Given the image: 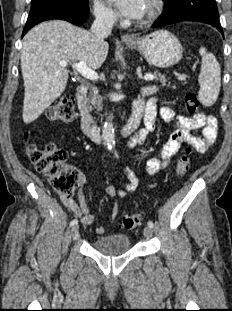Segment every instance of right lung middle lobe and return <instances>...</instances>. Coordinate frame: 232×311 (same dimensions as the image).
Wrapping results in <instances>:
<instances>
[{"instance_id": "right-lung-middle-lobe-1", "label": "right lung middle lobe", "mask_w": 232, "mask_h": 311, "mask_svg": "<svg viewBox=\"0 0 232 311\" xmlns=\"http://www.w3.org/2000/svg\"><path fill=\"white\" fill-rule=\"evenodd\" d=\"M53 3L74 6L84 11L89 10L88 0H32L31 7Z\"/></svg>"}]
</instances>
